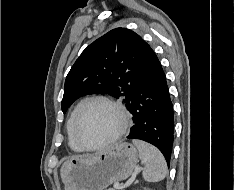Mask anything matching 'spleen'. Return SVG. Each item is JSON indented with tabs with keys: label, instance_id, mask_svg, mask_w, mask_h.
I'll use <instances>...</instances> for the list:
<instances>
[{
	"label": "spleen",
	"instance_id": "obj_1",
	"mask_svg": "<svg viewBox=\"0 0 234 190\" xmlns=\"http://www.w3.org/2000/svg\"><path fill=\"white\" fill-rule=\"evenodd\" d=\"M144 165L143 178L148 182H159L167 175V164L162 153L154 146L141 140H133Z\"/></svg>",
	"mask_w": 234,
	"mask_h": 190
}]
</instances>
